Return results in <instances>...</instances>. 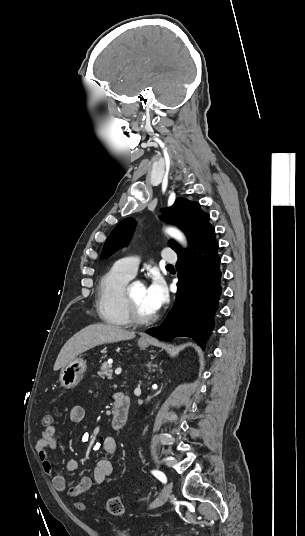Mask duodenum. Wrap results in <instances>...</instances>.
Returning a JSON list of instances; mask_svg holds the SVG:
<instances>
[{
  "instance_id": "410a0bca",
  "label": "duodenum",
  "mask_w": 305,
  "mask_h": 536,
  "mask_svg": "<svg viewBox=\"0 0 305 536\" xmlns=\"http://www.w3.org/2000/svg\"><path fill=\"white\" fill-rule=\"evenodd\" d=\"M130 411V402L127 396L121 392L117 393L114 398V410L112 415V427L119 429L124 426L128 420Z\"/></svg>"
}]
</instances>
